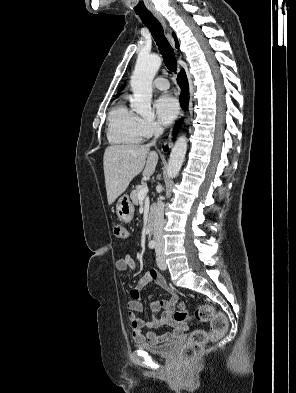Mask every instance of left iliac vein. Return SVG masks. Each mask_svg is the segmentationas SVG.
<instances>
[{
	"label": "left iliac vein",
	"instance_id": "left-iliac-vein-1",
	"mask_svg": "<svg viewBox=\"0 0 296 393\" xmlns=\"http://www.w3.org/2000/svg\"><path fill=\"white\" fill-rule=\"evenodd\" d=\"M156 261H157L158 267L161 270L167 269V264L165 262V257H164L163 251L159 248L156 249Z\"/></svg>",
	"mask_w": 296,
	"mask_h": 393
}]
</instances>
